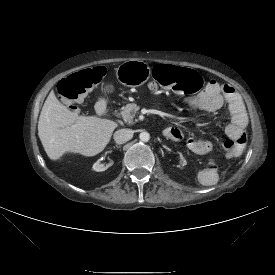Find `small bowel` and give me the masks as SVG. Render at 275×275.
Here are the masks:
<instances>
[{
	"label": "small bowel",
	"instance_id": "obj_1",
	"mask_svg": "<svg viewBox=\"0 0 275 275\" xmlns=\"http://www.w3.org/2000/svg\"><path fill=\"white\" fill-rule=\"evenodd\" d=\"M228 104V115L230 122L225 127L226 135L229 138L237 139L245 134L248 125V118L243 102L235 89L229 85H221L216 80H211L206 88L198 95L189 100V105L197 110L215 112L223 103ZM166 137L181 141L182 132L177 128H168L164 131ZM186 147L189 152L206 157L211 154L213 145L210 140L193 135L188 138ZM221 164L218 159L209 157L204 160L202 168L198 170L196 179L199 184L211 188L220 180Z\"/></svg>",
	"mask_w": 275,
	"mask_h": 275
}]
</instances>
